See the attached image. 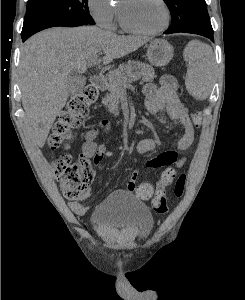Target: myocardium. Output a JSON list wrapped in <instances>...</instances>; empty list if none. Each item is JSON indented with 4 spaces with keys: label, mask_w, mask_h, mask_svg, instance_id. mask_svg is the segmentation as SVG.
<instances>
[{
    "label": "myocardium",
    "mask_w": 245,
    "mask_h": 300,
    "mask_svg": "<svg viewBox=\"0 0 245 300\" xmlns=\"http://www.w3.org/2000/svg\"><path fill=\"white\" fill-rule=\"evenodd\" d=\"M159 3L162 5L164 12H165V22L164 24L154 30H144V29H140L136 26L131 25L125 18L124 13L120 7L119 9V22L121 27L131 33H135V34H140V35H145V36H153V35H157L160 34L161 32L165 31L169 25H170V21H171V12L169 9L168 4L166 3L165 0H158Z\"/></svg>",
    "instance_id": "obj_1"
}]
</instances>
